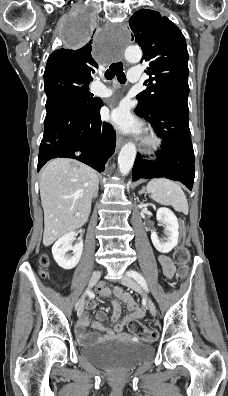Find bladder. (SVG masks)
I'll return each instance as SVG.
<instances>
[{
    "instance_id": "obj_1",
    "label": "bladder",
    "mask_w": 228,
    "mask_h": 396,
    "mask_svg": "<svg viewBox=\"0 0 228 396\" xmlns=\"http://www.w3.org/2000/svg\"><path fill=\"white\" fill-rule=\"evenodd\" d=\"M81 356L92 364L115 370L132 369L152 358L154 349L143 343L123 340H102L85 345Z\"/></svg>"
}]
</instances>
